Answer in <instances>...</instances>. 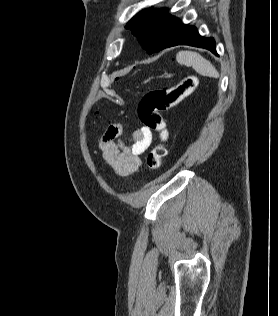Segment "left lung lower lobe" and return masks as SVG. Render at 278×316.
<instances>
[{"label": "left lung lower lobe", "instance_id": "1", "mask_svg": "<svg viewBox=\"0 0 278 316\" xmlns=\"http://www.w3.org/2000/svg\"><path fill=\"white\" fill-rule=\"evenodd\" d=\"M177 45H190L210 50L213 54L216 52V44L213 38L202 37L195 26L180 23L175 35L165 46V48Z\"/></svg>", "mask_w": 278, "mask_h": 316}]
</instances>
